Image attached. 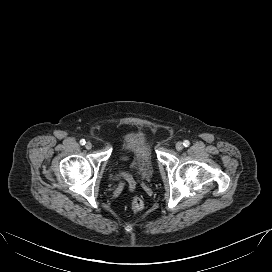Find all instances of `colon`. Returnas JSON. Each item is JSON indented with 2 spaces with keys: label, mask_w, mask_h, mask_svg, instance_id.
<instances>
[{
  "label": "colon",
  "mask_w": 272,
  "mask_h": 272,
  "mask_svg": "<svg viewBox=\"0 0 272 272\" xmlns=\"http://www.w3.org/2000/svg\"><path fill=\"white\" fill-rule=\"evenodd\" d=\"M130 207L132 211L139 212L144 208V202L141 198L134 197L130 202Z\"/></svg>",
  "instance_id": "obj_1"
}]
</instances>
